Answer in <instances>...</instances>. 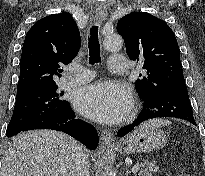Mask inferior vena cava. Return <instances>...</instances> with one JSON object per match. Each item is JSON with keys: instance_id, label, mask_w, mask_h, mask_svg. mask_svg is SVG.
<instances>
[{"instance_id": "1", "label": "inferior vena cava", "mask_w": 205, "mask_h": 176, "mask_svg": "<svg viewBox=\"0 0 205 176\" xmlns=\"http://www.w3.org/2000/svg\"><path fill=\"white\" fill-rule=\"evenodd\" d=\"M74 176H90L88 157L82 147L76 153Z\"/></svg>"}]
</instances>
